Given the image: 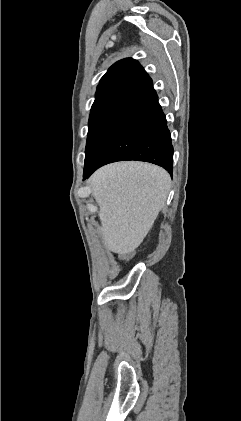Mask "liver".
Instances as JSON below:
<instances>
[{"instance_id":"obj_1","label":"liver","mask_w":241,"mask_h":421,"mask_svg":"<svg viewBox=\"0 0 241 421\" xmlns=\"http://www.w3.org/2000/svg\"><path fill=\"white\" fill-rule=\"evenodd\" d=\"M89 184L99 206L103 243L124 255L141 244L165 206L171 178L159 166L128 161L100 168Z\"/></svg>"}]
</instances>
